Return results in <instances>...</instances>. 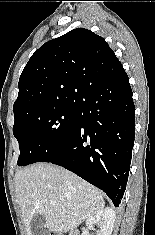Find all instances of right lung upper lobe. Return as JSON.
<instances>
[{"instance_id":"cb5924a9","label":"right lung upper lobe","mask_w":155,"mask_h":235,"mask_svg":"<svg viewBox=\"0 0 155 235\" xmlns=\"http://www.w3.org/2000/svg\"><path fill=\"white\" fill-rule=\"evenodd\" d=\"M124 72L107 42L77 28L46 42L31 56L19 79L14 117L35 109L78 105L94 86Z\"/></svg>"}]
</instances>
